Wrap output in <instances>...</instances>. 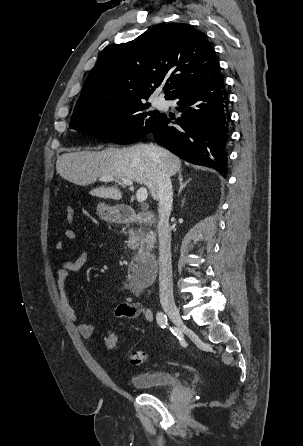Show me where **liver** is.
Listing matches in <instances>:
<instances>
[{
  "label": "liver",
  "instance_id": "6515ba94",
  "mask_svg": "<svg viewBox=\"0 0 303 446\" xmlns=\"http://www.w3.org/2000/svg\"><path fill=\"white\" fill-rule=\"evenodd\" d=\"M181 169V160L167 149L153 144H137L129 148H105L102 151H79L60 155L57 173L76 185L93 184L97 178L112 176L116 182L127 178L145 185L158 200V177L161 171L174 175ZM92 196L119 200L121 191L116 186H99Z\"/></svg>",
  "mask_w": 303,
  "mask_h": 446
}]
</instances>
